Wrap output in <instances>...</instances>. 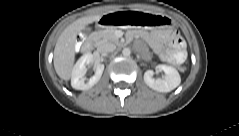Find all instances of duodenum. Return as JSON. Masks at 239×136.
<instances>
[{
  "instance_id": "1",
  "label": "duodenum",
  "mask_w": 239,
  "mask_h": 136,
  "mask_svg": "<svg viewBox=\"0 0 239 136\" xmlns=\"http://www.w3.org/2000/svg\"><path fill=\"white\" fill-rule=\"evenodd\" d=\"M77 47H79L83 52H90L93 49V42L92 41H86L84 42V39L79 38L76 43Z\"/></svg>"
}]
</instances>
